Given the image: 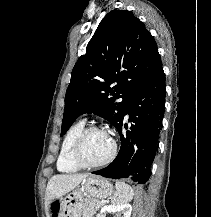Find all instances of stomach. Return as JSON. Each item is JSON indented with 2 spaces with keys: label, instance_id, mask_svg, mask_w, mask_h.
<instances>
[{
  "label": "stomach",
  "instance_id": "obj_1",
  "mask_svg": "<svg viewBox=\"0 0 211 217\" xmlns=\"http://www.w3.org/2000/svg\"><path fill=\"white\" fill-rule=\"evenodd\" d=\"M113 194V185L99 176H89L82 181L81 187L69 193L60 202L57 217H81L85 198L103 199Z\"/></svg>",
  "mask_w": 211,
  "mask_h": 217
}]
</instances>
